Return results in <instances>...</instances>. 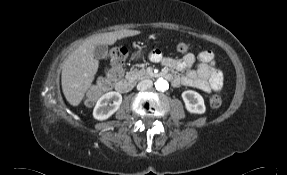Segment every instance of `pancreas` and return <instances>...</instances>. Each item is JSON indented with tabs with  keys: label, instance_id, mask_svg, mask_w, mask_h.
<instances>
[{
	"label": "pancreas",
	"instance_id": "cf45deb5",
	"mask_svg": "<svg viewBox=\"0 0 287 175\" xmlns=\"http://www.w3.org/2000/svg\"><path fill=\"white\" fill-rule=\"evenodd\" d=\"M146 75L145 70H140V71H133L129 73V77H132L134 79H141Z\"/></svg>",
	"mask_w": 287,
	"mask_h": 175
}]
</instances>
